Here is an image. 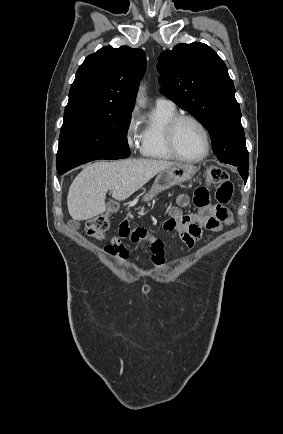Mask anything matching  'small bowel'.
Returning <instances> with one entry per match:
<instances>
[{"label":"small bowel","mask_w":283,"mask_h":434,"mask_svg":"<svg viewBox=\"0 0 283 434\" xmlns=\"http://www.w3.org/2000/svg\"><path fill=\"white\" fill-rule=\"evenodd\" d=\"M189 200L187 195H179L176 204L170 210V218L164 222V229L176 232L187 247L193 248L201 240L203 229L217 232L232 222V214L227 208L210 204L206 188L199 187L194 192L193 202L198 208L197 214L187 215L182 212L189 204ZM146 239L150 241L153 263L157 267L161 266L164 260L163 243L150 237L144 228L131 230L128 219L120 223L118 234L112 238L106 250L110 255L124 260L128 257V250L122 244L124 241L138 242Z\"/></svg>","instance_id":"1"}]
</instances>
